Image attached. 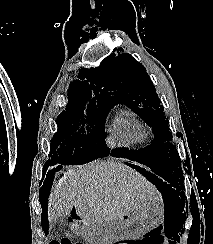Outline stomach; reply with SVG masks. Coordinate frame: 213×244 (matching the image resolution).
Segmentation results:
<instances>
[{
  "label": "stomach",
  "mask_w": 213,
  "mask_h": 244,
  "mask_svg": "<svg viewBox=\"0 0 213 244\" xmlns=\"http://www.w3.org/2000/svg\"><path fill=\"white\" fill-rule=\"evenodd\" d=\"M163 222L159 203L143 202L120 221H88L89 227H82V234L89 237L88 244H117V239L142 236Z\"/></svg>",
  "instance_id": "obj_1"
}]
</instances>
